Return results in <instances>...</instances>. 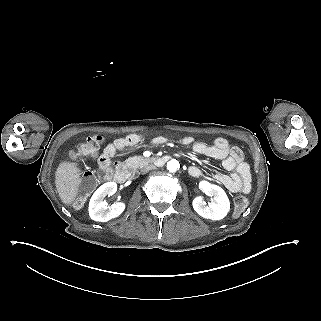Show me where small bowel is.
Masks as SVG:
<instances>
[{
	"mask_svg": "<svg viewBox=\"0 0 321 321\" xmlns=\"http://www.w3.org/2000/svg\"><path fill=\"white\" fill-rule=\"evenodd\" d=\"M143 140L140 134H130L109 143L100 157V174L109 176L111 169L109 168L110 159L120 150L134 146ZM168 139L164 136H157L152 139L155 145L165 144ZM180 143L190 146L192 150L200 155H205L212 159L221 161L225 170L230 174L216 173L214 179L234 193H247L251 189V172L249 165L244 161L242 151L235 146H231L227 140L216 138L212 144L208 145L203 142H195L192 137L186 136L181 138ZM189 173L193 177H200L202 171L191 166Z\"/></svg>",
	"mask_w": 321,
	"mask_h": 321,
	"instance_id": "c3829d8e",
	"label": "small bowel"
}]
</instances>
